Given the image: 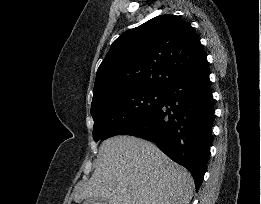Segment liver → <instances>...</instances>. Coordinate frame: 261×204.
<instances>
[{"label": "liver", "instance_id": "1", "mask_svg": "<svg viewBox=\"0 0 261 204\" xmlns=\"http://www.w3.org/2000/svg\"><path fill=\"white\" fill-rule=\"evenodd\" d=\"M97 166L76 185V203L89 198L109 204H189L194 180L149 141L116 136L102 142Z\"/></svg>", "mask_w": 261, "mask_h": 204}]
</instances>
